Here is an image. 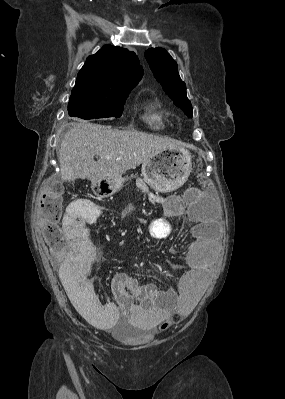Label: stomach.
<instances>
[{
  "instance_id": "0dacf381",
  "label": "stomach",
  "mask_w": 285,
  "mask_h": 399,
  "mask_svg": "<svg viewBox=\"0 0 285 399\" xmlns=\"http://www.w3.org/2000/svg\"><path fill=\"white\" fill-rule=\"evenodd\" d=\"M191 172V156L181 148L160 151L142 164L144 180L156 191L170 192L179 188L187 180ZM124 183V178L107 175L101 179L92 180V191L100 198L108 197L118 192Z\"/></svg>"
}]
</instances>
